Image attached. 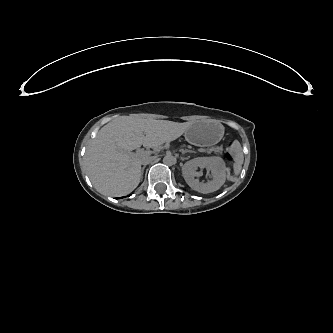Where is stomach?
I'll use <instances>...</instances> for the list:
<instances>
[{"instance_id":"obj_1","label":"stomach","mask_w":333,"mask_h":333,"mask_svg":"<svg viewBox=\"0 0 333 333\" xmlns=\"http://www.w3.org/2000/svg\"><path fill=\"white\" fill-rule=\"evenodd\" d=\"M185 138H186V140H187L190 144H193V145H202V142L193 139L192 136H191L190 134H187V135L185 136Z\"/></svg>"}]
</instances>
